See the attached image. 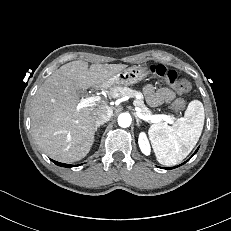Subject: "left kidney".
Masks as SVG:
<instances>
[{
	"instance_id": "1",
	"label": "left kidney",
	"mask_w": 231,
	"mask_h": 231,
	"mask_svg": "<svg viewBox=\"0 0 231 231\" xmlns=\"http://www.w3.org/2000/svg\"><path fill=\"white\" fill-rule=\"evenodd\" d=\"M138 143L142 153L145 155H150L151 152L150 143L144 132L140 133Z\"/></svg>"
}]
</instances>
